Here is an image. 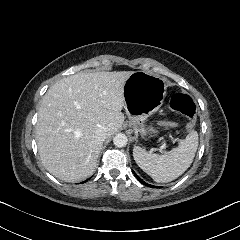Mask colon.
Segmentation results:
<instances>
[{
  "mask_svg": "<svg viewBox=\"0 0 240 240\" xmlns=\"http://www.w3.org/2000/svg\"><path fill=\"white\" fill-rule=\"evenodd\" d=\"M171 109L175 113H180L187 117L186 132L190 133L191 128L196 124L198 113L193 99L189 96L177 94L171 98ZM177 126V121L169 118L162 121V128H172Z\"/></svg>",
  "mask_w": 240,
  "mask_h": 240,
  "instance_id": "obj_1",
  "label": "colon"
}]
</instances>
